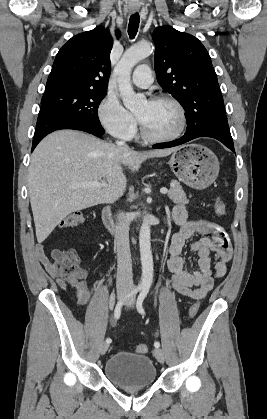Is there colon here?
<instances>
[{
	"label": "colon",
	"instance_id": "obj_1",
	"mask_svg": "<svg viewBox=\"0 0 267 419\" xmlns=\"http://www.w3.org/2000/svg\"><path fill=\"white\" fill-rule=\"evenodd\" d=\"M214 211L217 215H224L226 212L225 203L222 200L217 199L214 203ZM84 221L85 215L80 211H76L67 215L61 222V226L74 227L82 224ZM50 260L54 270L63 277H71L81 271L77 266L78 256L71 251L54 250L51 253ZM199 307L200 305L198 302H195L190 306L188 311L190 318H194L197 315ZM135 350L138 353H147L149 347L146 344H138L135 346Z\"/></svg>",
	"mask_w": 267,
	"mask_h": 419
}]
</instances>
